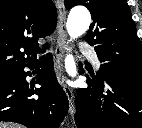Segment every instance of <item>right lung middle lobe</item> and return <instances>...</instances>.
I'll list each match as a JSON object with an SVG mask.
<instances>
[{"label":"right lung middle lobe","mask_w":142,"mask_h":128,"mask_svg":"<svg viewBox=\"0 0 142 128\" xmlns=\"http://www.w3.org/2000/svg\"><path fill=\"white\" fill-rule=\"evenodd\" d=\"M14 74H15V73H14ZM14 74H11V75H9V76L0 78V84H2V83H4V82L8 81Z\"/></svg>","instance_id":"dd1d6c3e"}]
</instances>
